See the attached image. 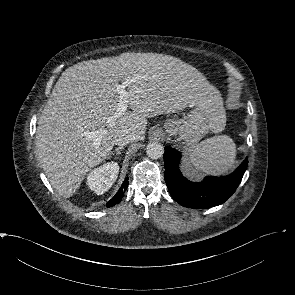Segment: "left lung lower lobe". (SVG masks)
Here are the masks:
<instances>
[{
	"label": "left lung lower lobe",
	"instance_id": "1",
	"mask_svg": "<svg viewBox=\"0 0 295 295\" xmlns=\"http://www.w3.org/2000/svg\"><path fill=\"white\" fill-rule=\"evenodd\" d=\"M180 154L165 147V182L171 196L180 205L206 209L224 203L237 189L247 169V158L231 174L224 177H206L202 182H190L179 170Z\"/></svg>",
	"mask_w": 295,
	"mask_h": 295
}]
</instances>
